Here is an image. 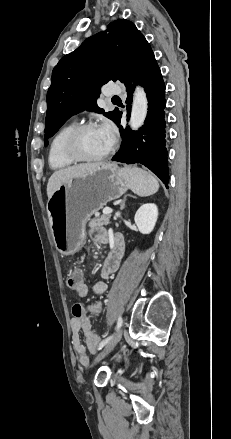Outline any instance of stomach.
Wrapping results in <instances>:
<instances>
[{"label":"stomach","instance_id":"0dacf381","mask_svg":"<svg viewBox=\"0 0 231 439\" xmlns=\"http://www.w3.org/2000/svg\"><path fill=\"white\" fill-rule=\"evenodd\" d=\"M128 190L121 169L103 163L90 173L62 184L49 198L47 213L56 249L62 255L80 250L89 218Z\"/></svg>","mask_w":231,"mask_h":439}]
</instances>
